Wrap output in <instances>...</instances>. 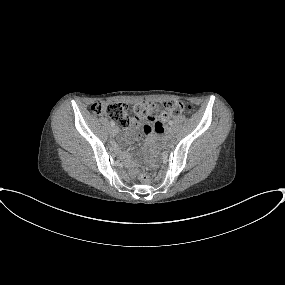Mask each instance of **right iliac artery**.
Instances as JSON below:
<instances>
[{"mask_svg":"<svg viewBox=\"0 0 285 285\" xmlns=\"http://www.w3.org/2000/svg\"><path fill=\"white\" fill-rule=\"evenodd\" d=\"M111 126L114 127L115 123L113 121L110 122Z\"/></svg>","mask_w":285,"mask_h":285,"instance_id":"right-iliac-artery-1","label":"right iliac artery"}]
</instances>
